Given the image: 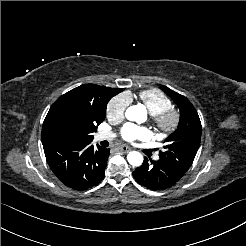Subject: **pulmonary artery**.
Here are the masks:
<instances>
[{
  "label": "pulmonary artery",
  "instance_id": "obj_1",
  "mask_svg": "<svg viewBox=\"0 0 246 246\" xmlns=\"http://www.w3.org/2000/svg\"><path fill=\"white\" fill-rule=\"evenodd\" d=\"M112 138H114V134L112 132H110V131L100 132L96 136V139L98 141H101V140H109V139H112Z\"/></svg>",
  "mask_w": 246,
  "mask_h": 246
}]
</instances>
